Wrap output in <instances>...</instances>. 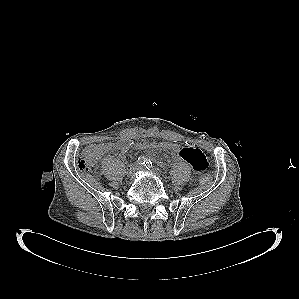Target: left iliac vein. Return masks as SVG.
Segmentation results:
<instances>
[{
    "instance_id": "left-iliac-vein-1",
    "label": "left iliac vein",
    "mask_w": 299,
    "mask_h": 299,
    "mask_svg": "<svg viewBox=\"0 0 299 299\" xmlns=\"http://www.w3.org/2000/svg\"><path fill=\"white\" fill-rule=\"evenodd\" d=\"M137 170H144V168L142 166H138Z\"/></svg>"
}]
</instances>
